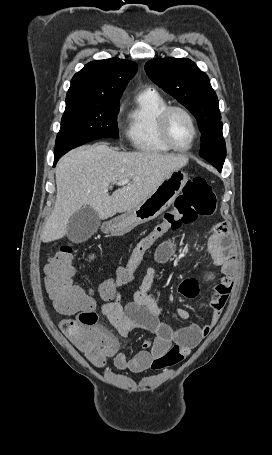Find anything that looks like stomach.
<instances>
[{
    "label": "stomach",
    "mask_w": 272,
    "mask_h": 455,
    "mask_svg": "<svg viewBox=\"0 0 272 455\" xmlns=\"http://www.w3.org/2000/svg\"><path fill=\"white\" fill-rule=\"evenodd\" d=\"M187 181L188 175L184 171L172 172L140 205L111 220L108 224L110 233L121 236L158 217L171 206Z\"/></svg>",
    "instance_id": "0dacf381"
}]
</instances>
